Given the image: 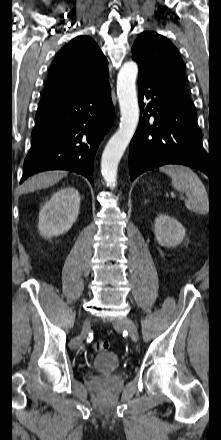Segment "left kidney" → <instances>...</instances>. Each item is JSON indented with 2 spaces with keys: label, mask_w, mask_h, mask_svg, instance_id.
I'll return each mask as SVG.
<instances>
[{
  "label": "left kidney",
  "mask_w": 221,
  "mask_h": 440,
  "mask_svg": "<svg viewBox=\"0 0 221 440\" xmlns=\"http://www.w3.org/2000/svg\"><path fill=\"white\" fill-rule=\"evenodd\" d=\"M154 233L158 243L165 247L179 245L186 235L182 224L167 214H160L155 219Z\"/></svg>",
  "instance_id": "1"
}]
</instances>
